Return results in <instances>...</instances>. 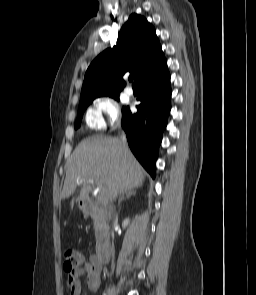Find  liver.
Here are the masks:
<instances>
[{
  "mask_svg": "<svg viewBox=\"0 0 256 295\" xmlns=\"http://www.w3.org/2000/svg\"><path fill=\"white\" fill-rule=\"evenodd\" d=\"M143 179L141 166L121 140L91 136L78 144L67 162L61 198H69L82 186L79 200L84 201L96 184L112 202L118 194L142 185Z\"/></svg>",
  "mask_w": 256,
  "mask_h": 295,
  "instance_id": "obj_1",
  "label": "liver"
}]
</instances>
